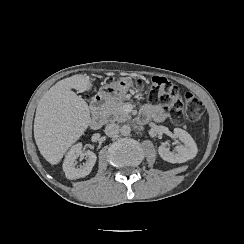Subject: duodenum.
Segmentation results:
<instances>
[{
	"label": "duodenum",
	"mask_w": 244,
	"mask_h": 244,
	"mask_svg": "<svg viewBox=\"0 0 244 244\" xmlns=\"http://www.w3.org/2000/svg\"><path fill=\"white\" fill-rule=\"evenodd\" d=\"M113 94L107 92H100L98 93L92 103V119L90 122V126L92 129H96L102 125L105 120L104 116V107L107 101L112 97Z\"/></svg>",
	"instance_id": "1"
}]
</instances>
